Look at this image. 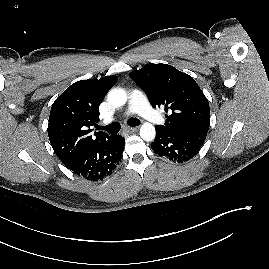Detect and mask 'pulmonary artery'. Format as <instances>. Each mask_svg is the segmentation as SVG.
Returning <instances> with one entry per match:
<instances>
[{"label":"pulmonary artery","mask_w":269,"mask_h":269,"mask_svg":"<svg viewBox=\"0 0 269 269\" xmlns=\"http://www.w3.org/2000/svg\"><path fill=\"white\" fill-rule=\"evenodd\" d=\"M137 113L153 123L162 122L161 116L149 105L145 95L139 90H132L126 115Z\"/></svg>","instance_id":"pulmonary-artery-1"}]
</instances>
